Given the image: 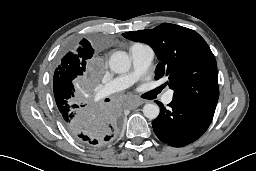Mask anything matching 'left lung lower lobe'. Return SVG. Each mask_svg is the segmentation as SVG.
I'll return each mask as SVG.
<instances>
[{"label":"left lung lower lobe","mask_w":256,"mask_h":171,"mask_svg":"<svg viewBox=\"0 0 256 171\" xmlns=\"http://www.w3.org/2000/svg\"><path fill=\"white\" fill-rule=\"evenodd\" d=\"M160 106V115L152 122L153 130L161 141L174 147L197 140L209 127L216 108L181 97H173L168 108Z\"/></svg>","instance_id":"0a47b994"}]
</instances>
